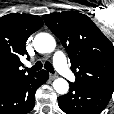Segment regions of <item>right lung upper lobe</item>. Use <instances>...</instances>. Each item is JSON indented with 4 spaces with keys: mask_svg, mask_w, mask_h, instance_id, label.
Returning a JSON list of instances; mask_svg holds the SVG:
<instances>
[{
    "mask_svg": "<svg viewBox=\"0 0 114 114\" xmlns=\"http://www.w3.org/2000/svg\"><path fill=\"white\" fill-rule=\"evenodd\" d=\"M42 25L36 15L12 13L0 18V89L33 75L19 69L20 57L27 55L26 41Z\"/></svg>",
    "mask_w": 114,
    "mask_h": 114,
    "instance_id": "obj_1",
    "label": "right lung upper lobe"
}]
</instances>
